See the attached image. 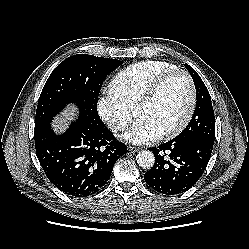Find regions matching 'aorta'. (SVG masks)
<instances>
[{"mask_svg": "<svg viewBox=\"0 0 249 249\" xmlns=\"http://www.w3.org/2000/svg\"><path fill=\"white\" fill-rule=\"evenodd\" d=\"M137 164L143 169H150L155 163V157L149 150H142L136 156Z\"/></svg>", "mask_w": 249, "mask_h": 249, "instance_id": "762f6f07", "label": "aorta"}]
</instances>
